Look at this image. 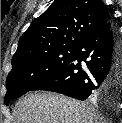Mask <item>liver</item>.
<instances>
[{
  "label": "liver",
  "mask_w": 122,
  "mask_h": 123,
  "mask_svg": "<svg viewBox=\"0 0 122 123\" xmlns=\"http://www.w3.org/2000/svg\"><path fill=\"white\" fill-rule=\"evenodd\" d=\"M14 123H98L100 114L85 102L52 92H30L13 112Z\"/></svg>",
  "instance_id": "obj_1"
}]
</instances>
